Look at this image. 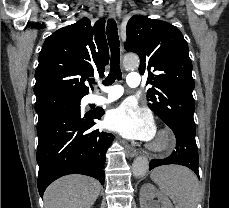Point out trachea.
I'll return each instance as SVG.
<instances>
[{"instance_id":"obj_1","label":"trachea","mask_w":229,"mask_h":208,"mask_svg":"<svg viewBox=\"0 0 229 208\" xmlns=\"http://www.w3.org/2000/svg\"><path fill=\"white\" fill-rule=\"evenodd\" d=\"M107 39L111 50L110 72L103 80L105 86L112 85L115 80H122V72L120 70V41L118 36V28L115 20L110 18L107 21Z\"/></svg>"}]
</instances>
